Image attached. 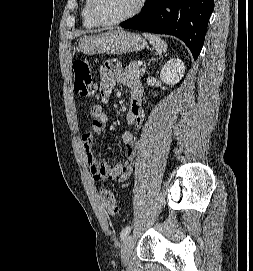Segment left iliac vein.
<instances>
[{
    "mask_svg": "<svg viewBox=\"0 0 253 271\" xmlns=\"http://www.w3.org/2000/svg\"><path fill=\"white\" fill-rule=\"evenodd\" d=\"M133 246L134 239L131 235H129L124 239L121 247V259L124 264H127L129 262Z\"/></svg>",
    "mask_w": 253,
    "mask_h": 271,
    "instance_id": "4c4485c4",
    "label": "left iliac vein"
}]
</instances>
